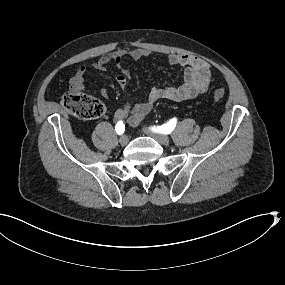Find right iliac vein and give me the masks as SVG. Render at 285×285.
<instances>
[{"mask_svg": "<svg viewBox=\"0 0 285 285\" xmlns=\"http://www.w3.org/2000/svg\"><path fill=\"white\" fill-rule=\"evenodd\" d=\"M120 144H121V146H125L128 144V137L126 135H124L120 138Z\"/></svg>", "mask_w": 285, "mask_h": 285, "instance_id": "obj_1", "label": "right iliac vein"}]
</instances>
